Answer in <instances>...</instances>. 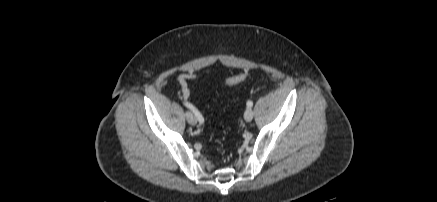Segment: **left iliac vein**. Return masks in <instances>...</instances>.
<instances>
[{
  "label": "left iliac vein",
  "instance_id": "obj_1",
  "mask_svg": "<svg viewBox=\"0 0 437 202\" xmlns=\"http://www.w3.org/2000/svg\"><path fill=\"white\" fill-rule=\"evenodd\" d=\"M253 116H254L253 110L251 108H247L244 113V119L247 122H250L253 119Z\"/></svg>",
  "mask_w": 437,
  "mask_h": 202
}]
</instances>
